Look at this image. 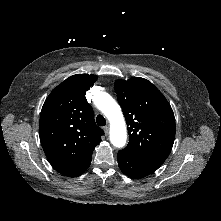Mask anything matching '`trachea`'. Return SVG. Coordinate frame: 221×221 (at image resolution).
Instances as JSON below:
<instances>
[{"instance_id":"1","label":"trachea","mask_w":221,"mask_h":221,"mask_svg":"<svg viewBox=\"0 0 221 221\" xmlns=\"http://www.w3.org/2000/svg\"><path fill=\"white\" fill-rule=\"evenodd\" d=\"M96 122L99 126H105L106 125V119L102 115H98L96 117Z\"/></svg>"}]
</instances>
